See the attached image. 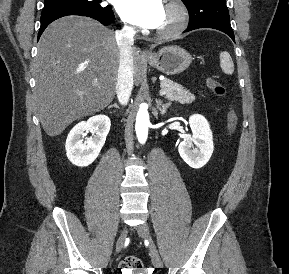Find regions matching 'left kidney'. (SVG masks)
<instances>
[{"label":"left kidney","mask_w":289,"mask_h":274,"mask_svg":"<svg viewBox=\"0 0 289 274\" xmlns=\"http://www.w3.org/2000/svg\"><path fill=\"white\" fill-rule=\"evenodd\" d=\"M189 125L193 135L179 144L178 151L190 167L198 169L211 158L214 150L213 135L208 121L202 115L190 116Z\"/></svg>","instance_id":"1"}]
</instances>
